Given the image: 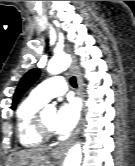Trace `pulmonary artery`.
<instances>
[{
  "label": "pulmonary artery",
  "instance_id": "pulmonary-artery-1",
  "mask_svg": "<svg viewBox=\"0 0 135 166\" xmlns=\"http://www.w3.org/2000/svg\"><path fill=\"white\" fill-rule=\"evenodd\" d=\"M66 91V81L61 76H53L39 84L31 94L46 103L53 97L63 95Z\"/></svg>",
  "mask_w": 135,
  "mask_h": 166
}]
</instances>
